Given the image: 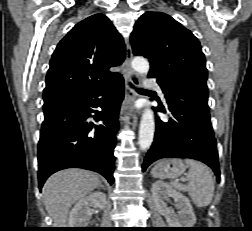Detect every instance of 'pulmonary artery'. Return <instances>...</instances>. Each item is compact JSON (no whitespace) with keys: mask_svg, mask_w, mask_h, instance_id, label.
Listing matches in <instances>:
<instances>
[{"mask_svg":"<svg viewBox=\"0 0 252 231\" xmlns=\"http://www.w3.org/2000/svg\"><path fill=\"white\" fill-rule=\"evenodd\" d=\"M144 85H145L146 87H150V88L156 90L157 93L159 94V96H160L162 99L164 98L163 91H162V89H161V87H160V85H159L158 82H155L154 80H151V79H146V80L144 81Z\"/></svg>","mask_w":252,"mask_h":231,"instance_id":"pulmonary-artery-1","label":"pulmonary artery"}]
</instances>
